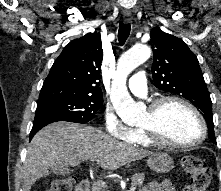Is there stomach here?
I'll use <instances>...</instances> for the list:
<instances>
[{
  "label": "stomach",
  "instance_id": "1",
  "mask_svg": "<svg viewBox=\"0 0 221 191\" xmlns=\"http://www.w3.org/2000/svg\"><path fill=\"white\" fill-rule=\"evenodd\" d=\"M147 165L155 172L167 173L173 168L174 162L167 153L159 152L149 156Z\"/></svg>",
  "mask_w": 221,
  "mask_h": 191
}]
</instances>
